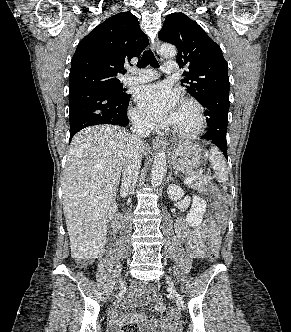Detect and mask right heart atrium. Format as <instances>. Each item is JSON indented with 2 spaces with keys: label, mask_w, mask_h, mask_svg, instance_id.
I'll use <instances>...</instances> for the list:
<instances>
[{
  "label": "right heart atrium",
  "mask_w": 291,
  "mask_h": 332,
  "mask_svg": "<svg viewBox=\"0 0 291 332\" xmlns=\"http://www.w3.org/2000/svg\"><path fill=\"white\" fill-rule=\"evenodd\" d=\"M131 119L132 121L143 128H148L151 126L150 122L143 116L140 110L137 108L132 109L131 113Z\"/></svg>",
  "instance_id": "d8ad5b80"
}]
</instances>
